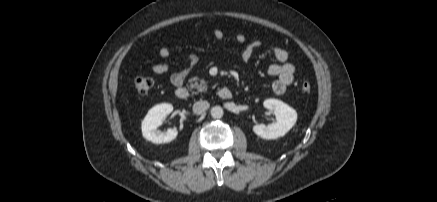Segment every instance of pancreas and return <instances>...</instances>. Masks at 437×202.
<instances>
[{"label": "pancreas", "instance_id": "cf45deb5", "mask_svg": "<svg viewBox=\"0 0 437 202\" xmlns=\"http://www.w3.org/2000/svg\"><path fill=\"white\" fill-rule=\"evenodd\" d=\"M190 88L197 89L199 92L207 90V82L204 79H199L198 77H193L189 79Z\"/></svg>", "mask_w": 437, "mask_h": 202}]
</instances>
